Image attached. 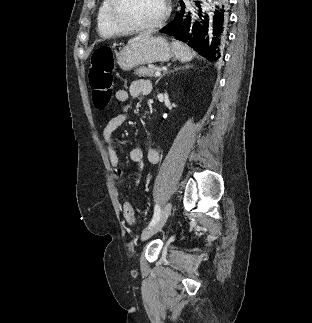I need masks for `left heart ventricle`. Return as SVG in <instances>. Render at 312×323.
I'll return each instance as SVG.
<instances>
[{"label":"left heart ventricle","mask_w":312,"mask_h":323,"mask_svg":"<svg viewBox=\"0 0 312 323\" xmlns=\"http://www.w3.org/2000/svg\"><path fill=\"white\" fill-rule=\"evenodd\" d=\"M163 0H118L115 14L128 18L129 22H148L163 14Z\"/></svg>","instance_id":"left-heart-ventricle-1"}]
</instances>
